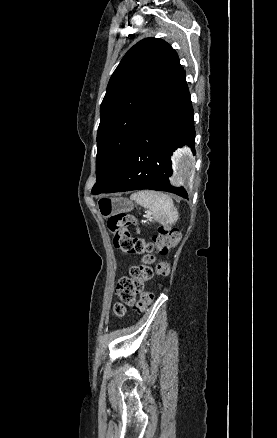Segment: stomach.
Wrapping results in <instances>:
<instances>
[{
    "label": "stomach",
    "instance_id": "obj_1",
    "mask_svg": "<svg viewBox=\"0 0 277 438\" xmlns=\"http://www.w3.org/2000/svg\"><path fill=\"white\" fill-rule=\"evenodd\" d=\"M99 213L103 218H109L119 213H126L133 209V202L129 199L119 198H102L97 202Z\"/></svg>",
    "mask_w": 277,
    "mask_h": 438
}]
</instances>
